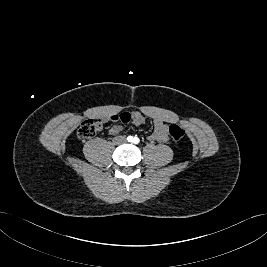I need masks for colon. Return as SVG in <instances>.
Instances as JSON below:
<instances>
[{
	"instance_id": "5ec220e1",
	"label": "colon",
	"mask_w": 267,
	"mask_h": 267,
	"mask_svg": "<svg viewBox=\"0 0 267 267\" xmlns=\"http://www.w3.org/2000/svg\"><path fill=\"white\" fill-rule=\"evenodd\" d=\"M128 118V114L126 112L113 114L110 117H108V120L111 121H121L124 122ZM105 120H93L88 119L81 123L77 130V136L81 140H87L92 137H94L98 131L102 128L103 122ZM168 132L171 136V138L178 142L182 140L185 136V131L177 124H171L168 128Z\"/></svg>"
}]
</instances>
